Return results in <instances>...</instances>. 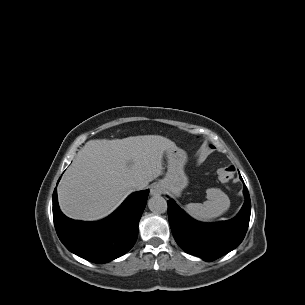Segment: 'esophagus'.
<instances>
[{"label":"esophagus","instance_id":"34e87169","mask_svg":"<svg viewBox=\"0 0 305 305\" xmlns=\"http://www.w3.org/2000/svg\"><path fill=\"white\" fill-rule=\"evenodd\" d=\"M162 192H163V189H162L161 185H159V184L155 183L150 187V194L152 196L161 195Z\"/></svg>","mask_w":305,"mask_h":305}]
</instances>
